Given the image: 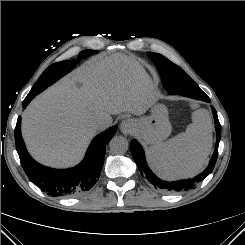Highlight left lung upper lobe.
<instances>
[{
    "instance_id": "1",
    "label": "left lung upper lobe",
    "mask_w": 245,
    "mask_h": 245,
    "mask_svg": "<svg viewBox=\"0 0 245 245\" xmlns=\"http://www.w3.org/2000/svg\"><path fill=\"white\" fill-rule=\"evenodd\" d=\"M147 54L157 66L163 86L167 91H171L173 88L183 87L186 83H189L188 87L191 88L198 86L179 66L172 63L163 55L153 52H148Z\"/></svg>"
}]
</instances>
